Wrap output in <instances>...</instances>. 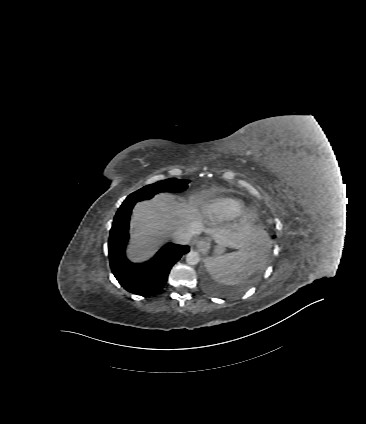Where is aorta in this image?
I'll list each match as a JSON object with an SVG mask.
<instances>
[{
	"mask_svg": "<svg viewBox=\"0 0 366 424\" xmlns=\"http://www.w3.org/2000/svg\"><path fill=\"white\" fill-rule=\"evenodd\" d=\"M186 262L189 265H197L200 262V255L196 251H190L186 255Z\"/></svg>",
	"mask_w": 366,
	"mask_h": 424,
	"instance_id": "762f6f07",
	"label": "aorta"
}]
</instances>
